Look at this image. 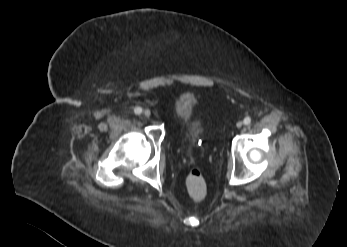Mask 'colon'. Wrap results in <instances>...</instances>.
I'll return each mask as SVG.
<instances>
[{
    "label": "colon",
    "instance_id": "5ec220e1",
    "mask_svg": "<svg viewBox=\"0 0 347 247\" xmlns=\"http://www.w3.org/2000/svg\"><path fill=\"white\" fill-rule=\"evenodd\" d=\"M186 188L189 196L195 200H202L207 193L206 183L199 168H193L186 180Z\"/></svg>",
    "mask_w": 347,
    "mask_h": 247
}]
</instances>
